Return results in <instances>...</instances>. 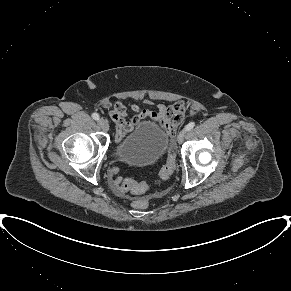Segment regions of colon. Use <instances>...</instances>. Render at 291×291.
<instances>
[{
  "mask_svg": "<svg viewBox=\"0 0 291 291\" xmlns=\"http://www.w3.org/2000/svg\"><path fill=\"white\" fill-rule=\"evenodd\" d=\"M176 168V159L174 150L168 152L166 162L162 166L158 179L166 180L174 172ZM110 179L114 190L119 194L133 193L140 194L147 190V184L144 182H136L131 179L122 178L119 175V169L117 166L113 167L110 174ZM132 205L136 209L144 210L149 207V202L146 199L140 198L132 202Z\"/></svg>",
  "mask_w": 291,
  "mask_h": 291,
  "instance_id": "colon-1",
  "label": "colon"
}]
</instances>
